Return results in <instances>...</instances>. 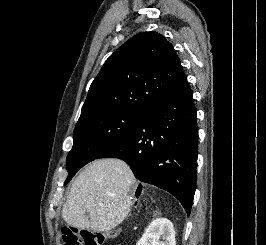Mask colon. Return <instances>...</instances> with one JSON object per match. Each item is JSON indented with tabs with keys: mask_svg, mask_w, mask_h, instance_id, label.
Returning a JSON list of instances; mask_svg holds the SVG:
<instances>
[{
	"mask_svg": "<svg viewBox=\"0 0 266 245\" xmlns=\"http://www.w3.org/2000/svg\"><path fill=\"white\" fill-rule=\"evenodd\" d=\"M103 233L64 227L61 231V245H103L106 240Z\"/></svg>",
	"mask_w": 266,
	"mask_h": 245,
	"instance_id": "5ec220e1",
	"label": "colon"
}]
</instances>
